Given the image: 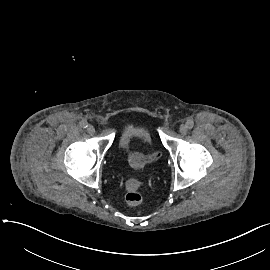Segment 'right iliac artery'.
I'll use <instances>...</instances> for the list:
<instances>
[{"instance_id":"right-iliac-artery-1","label":"right iliac artery","mask_w":270,"mask_h":270,"mask_svg":"<svg viewBox=\"0 0 270 270\" xmlns=\"http://www.w3.org/2000/svg\"><path fill=\"white\" fill-rule=\"evenodd\" d=\"M80 126L82 127V128H87L88 127V123H87V121H81L80 122Z\"/></svg>"}]
</instances>
